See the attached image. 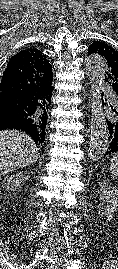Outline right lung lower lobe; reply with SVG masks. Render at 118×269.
Segmentation results:
<instances>
[{"instance_id":"98d812e1","label":"right lung lower lobe","mask_w":118,"mask_h":269,"mask_svg":"<svg viewBox=\"0 0 118 269\" xmlns=\"http://www.w3.org/2000/svg\"><path fill=\"white\" fill-rule=\"evenodd\" d=\"M36 99L37 95L32 92H0V130L25 131L36 145L42 146L46 131H37Z\"/></svg>"}]
</instances>
